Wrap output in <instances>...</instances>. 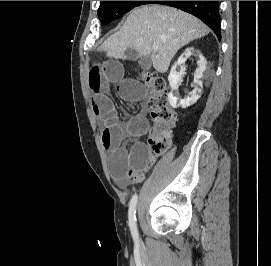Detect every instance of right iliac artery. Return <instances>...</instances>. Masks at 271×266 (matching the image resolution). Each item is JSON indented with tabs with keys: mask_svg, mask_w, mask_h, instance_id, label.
<instances>
[{
	"mask_svg": "<svg viewBox=\"0 0 271 266\" xmlns=\"http://www.w3.org/2000/svg\"><path fill=\"white\" fill-rule=\"evenodd\" d=\"M137 195H134L130 201L129 205V226L132 236L135 241H138V231L136 225V205H137Z\"/></svg>",
	"mask_w": 271,
	"mask_h": 266,
	"instance_id": "1",
	"label": "right iliac artery"
}]
</instances>
